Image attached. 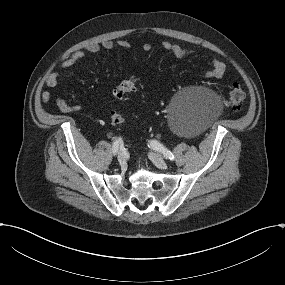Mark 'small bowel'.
I'll return each instance as SVG.
<instances>
[{
	"label": "small bowel",
	"mask_w": 285,
	"mask_h": 285,
	"mask_svg": "<svg viewBox=\"0 0 285 285\" xmlns=\"http://www.w3.org/2000/svg\"><path fill=\"white\" fill-rule=\"evenodd\" d=\"M116 46L120 47L123 50L130 49V44L126 40H118V41L104 40L100 43H91L87 45L83 50L76 51L64 56L60 61L59 69L54 70L49 74L46 80L47 86L50 88H55L60 78V70L75 66L76 64L80 63L84 59L86 53H98L102 49L112 50ZM161 46L164 50L173 54L177 59H184L194 54L193 49L183 47L177 43H173L170 41L162 42ZM142 49L143 51L148 52L151 50V45L146 43L143 45ZM225 71H226L225 63L217 57H212L211 66L209 70L206 72L205 76L207 78L217 79L221 78L224 75ZM41 98L42 101L45 103L54 100L57 108L64 113L78 112L82 108L80 105H72L68 103L65 99L60 97L53 99V96L48 91L43 92Z\"/></svg>",
	"instance_id": "obj_1"
}]
</instances>
